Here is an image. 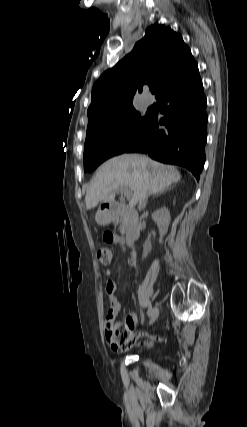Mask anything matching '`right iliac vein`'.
<instances>
[{
	"mask_svg": "<svg viewBox=\"0 0 247 427\" xmlns=\"http://www.w3.org/2000/svg\"><path fill=\"white\" fill-rule=\"evenodd\" d=\"M158 315H159V310H158V308L155 307L152 310L151 315H150V324H153L156 321V319L158 318Z\"/></svg>",
	"mask_w": 247,
	"mask_h": 427,
	"instance_id": "right-iliac-vein-1",
	"label": "right iliac vein"
}]
</instances>
